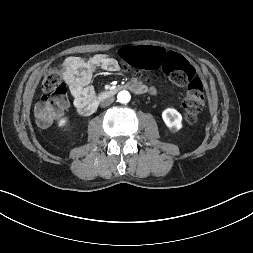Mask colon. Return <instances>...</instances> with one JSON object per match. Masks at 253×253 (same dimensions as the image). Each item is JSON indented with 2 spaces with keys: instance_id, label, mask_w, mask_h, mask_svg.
Returning <instances> with one entry per match:
<instances>
[{
  "instance_id": "obj_1",
  "label": "colon",
  "mask_w": 253,
  "mask_h": 253,
  "mask_svg": "<svg viewBox=\"0 0 253 253\" xmlns=\"http://www.w3.org/2000/svg\"><path fill=\"white\" fill-rule=\"evenodd\" d=\"M120 56L123 68L136 71L137 78L142 77L139 68L153 73L165 71L172 82L186 85L187 92L183 100L184 117L190 124L198 121L199 114L205 106L203 83L195 77L194 67L182 56L180 50L173 49L169 53L161 47H124ZM42 89L44 94L36 102L34 112L38 124L47 127L62 114L67 105V86L60 69L50 68L46 71Z\"/></svg>"
}]
</instances>
